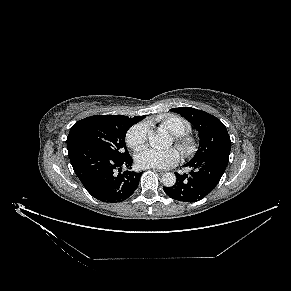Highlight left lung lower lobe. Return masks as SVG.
Here are the masks:
<instances>
[{
    "instance_id": "left-lung-lower-lobe-1",
    "label": "left lung lower lobe",
    "mask_w": 291,
    "mask_h": 291,
    "mask_svg": "<svg viewBox=\"0 0 291 291\" xmlns=\"http://www.w3.org/2000/svg\"><path fill=\"white\" fill-rule=\"evenodd\" d=\"M229 156L217 154L184 166L191 168L189 174L175 173L177 179L172 187H163L165 193L181 202H197L207 196L221 179Z\"/></svg>"
}]
</instances>
